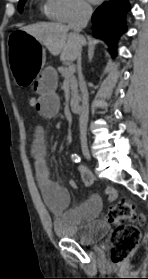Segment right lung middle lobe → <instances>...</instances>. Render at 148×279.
Returning a JSON list of instances; mask_svg holds the SVG:
<instances>
[{
  "mask_svg": "<svg viewBox=\"0 0 148 279\" xmlns=\"http://www.w3.org/2000/svg\"><path fill=\"white\" fill-rule=\"evenodd\" d=\"M26 0H20L18 5V11L21 12Z\"/></svg>",
  "mask_w": 148,
  "mask_h": 279,
  "instance_id": "right-lung-middle-lobe-1",
  "label": "right lung middle lobe"
}]
</instances>
